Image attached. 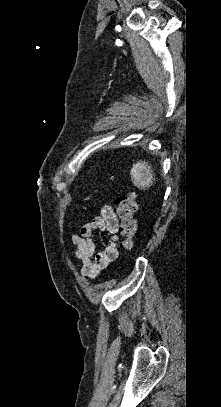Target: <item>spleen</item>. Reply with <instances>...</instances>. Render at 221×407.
Listing matches in <instances>:
<instances>
[{
    "instance_id": "spleen-1",
    "label": "spleen",
    "mask_w": 221,
    "mask_h": 407,
    "mask_svg": "<svg viewBox=\"0 0 221 407\" xmlns=\"http://www.w3.org/2000/svg\"><path fill=\"white\" fill-rule=\"evenodd\" d=\"M152 172L151 166H148L146 162L139 161L131 168V180L137 188L145 190L149 188L155 180Z\"/></svg>"
}]
</instances>
